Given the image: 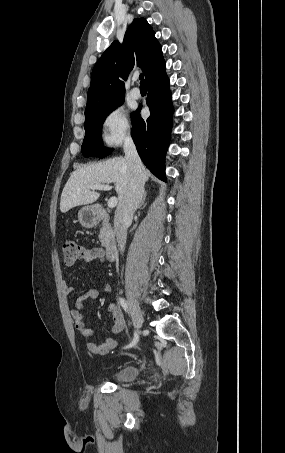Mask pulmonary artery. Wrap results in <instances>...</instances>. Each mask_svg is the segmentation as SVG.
Wrapping results in <instances>:
<instances>
[{
	"label": "pulmonary artery",
	"instance_id": "1",
	"mask_svg": "<svg viewBox=\"0 0 285 453\" xmlns=\"http://www.w3.org/2000/svg\"><path fill=\"white\" fill-rule=\"evenodd\" d=\"M130 95L133 98L138 99L141 96L140 89L138 87L132 88L131 91H130Z\"/></svg>",
	"mask_w": 285,
	"mask_h": 453
}]
</instances>
